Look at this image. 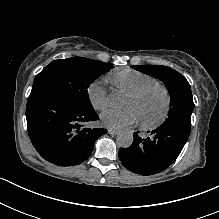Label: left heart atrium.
Masks as SVG:
<instances>
[{"label": "left heart atrium", "instance_id": "1", "mask_svg": "<svg viewBox=\"0 0 219 219\" xmlns=\"http://www.w3.org/2000/svg\"><path fill=\"white\" fill-rule=\"evenodd\" d=\"M101 123L110 129H122L140 121V116L135 108L127 107L122 110L110 109L104 111L101 116Z\"/></svg>", "mask_w": 219, "mask_h": 219}]
</instances>
